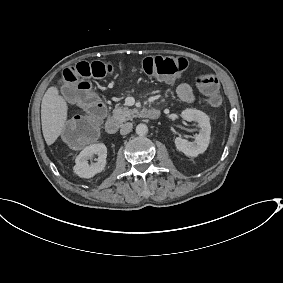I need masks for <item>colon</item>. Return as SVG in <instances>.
I'll return each mask as SVG.
<instances>
[{"mask_svg":"<svg viewBox=\"0 0 283 283\" xmlns=\"http://www.w3.org/2000/svg\"><path fill=\"white\" fill-rule=\"evenodd\" d=\"M187 62L181 57L149 56L142 60V73L163 79H172L181 74ZM123 67H120V69ZM116 67L103 62H80L63 70L60 83L65 97L83 110V114L69 120L63 129V138L71 145H84L93 140L106 108L100 96L87 78H102L110 75ZM198 90L207 97L210 104H221L218 78L211 73L202 74L195 80Z\"/></svg>","mask_w":283,"mask_h":283,"instance_id":"1","label":"colon"}]
</instances>
